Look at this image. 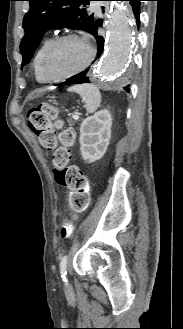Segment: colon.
I'll return each instance as SVG.
<instances>
[{
	"label": "colon",
	"mask_w": 183,
	"mask_h": 329,
	"mask_svg": "<svg viewBox=\"0 0 183 329\" xmlns=\"http://www.w3.org/2000/svg\"><path fill=\"white\" fill-rule=\"evenodd\" d=\"M58 110L51 104H42L28 112L29 129L48 150L56 149L53 159V174L56 183L69 191L68 204L65 207L66 220L70 217H80L89 202V184L82 170L75 165H69L71 151L75 142V132L72 128H63L57 120ZM72 225L65 223L60 228V236L67 239L71 236Z\"/></svg>",
	"instance_id": "5ec220e1"
}]
</instances>
